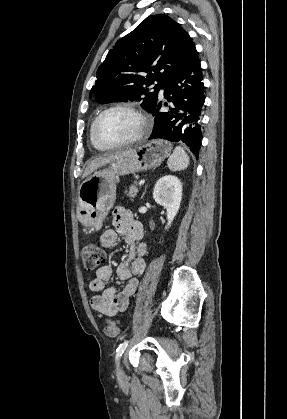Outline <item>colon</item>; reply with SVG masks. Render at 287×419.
I'll return each instance as SVG.
<instances>
[{"label":"colon","mask_w":287,"mask_h":419,"mask_svg":"<svg viewBox=\"0 0 287 419\" xmlns=\"http://www.w3.org/2000/svg\"><path fill=\"white\" fill-rule=\"evenodd\" d=\"M84 267L88 271L101 268L106 259L105 251L94 243L86 244L82 248ZM104 333L109 338H116L119 335V324L116 320H107Z\"/></svg>","instance_id":"5ec220e1"}]
</instances>
